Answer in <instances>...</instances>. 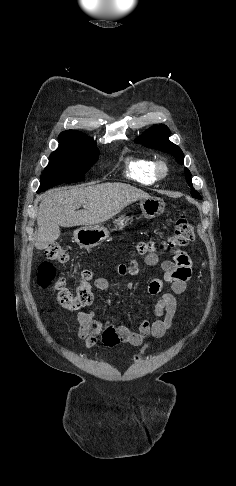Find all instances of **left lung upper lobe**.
Segmentation results:
<instances>
[{"label": "left lung upper lobe", "mask_w": 236, "mask_h": 486, "mask_svg": "<svg viewBox=\"0 0 236 486\" xmlns=\"http://www.w3.org/2000/svg\"><path fill=\"white\" fill-rule=\"evenodd\" d=\"M169 129L165 125L153 126L136 139V143H142L145 147L158 149L165 153H171L178 163H184V154L182 150L169 141ZM186 181L190 187H193L190 171L185 168ZM194 198L201 199L198 192L192 191Z\"/></svg>", "instance_id": "left-lung-upper-lobe-1"}]
</instances>
